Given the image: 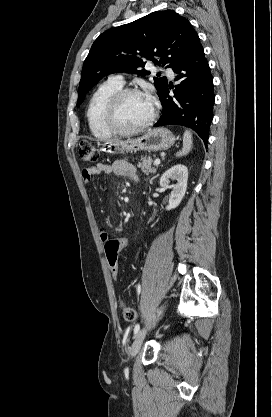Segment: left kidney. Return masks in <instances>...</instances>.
<instances>
[{
  "mask_svg": "<svg viewBox=\"0 0 272 417\" xmlns=\"http://www.w3.org/2000/svg\"><path fill=\"white\" fill-rule=\"evenodd\" d=\"M170 180H176L177 183L169 186ZM188 169L185 165H174L168 169L160 178V186L163 188H171L167 210L175 209L181 203L187 189Z\"/></svg>",
  "mask_w": 272,
  "mask_h": 417,
  "instance_id": "1",
  "label": "left kidney"
}]
</instances>
